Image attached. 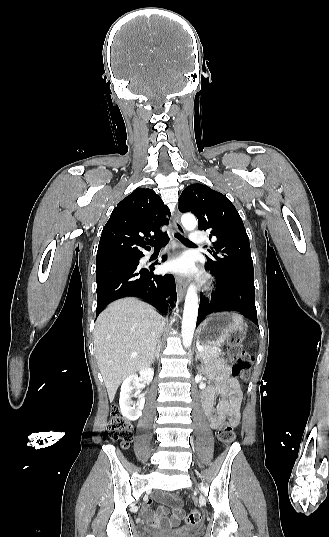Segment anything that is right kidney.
Instances as JSON below:
<instances>
[{"mask_svg": "<svg viewBox=\"0 0 329 537\" xmlns=\"http://www.w3.org/2000/svg\"><path fill=\"white\" fill-rule=\"evenodd\" d=\"M140 377L137 374L129 375L122 383L120 392V411L121 414L128 420L134 421L142 415V410L145 404V397L140 393L139 383L141 380L147 383L151 382L154 376V370L150 367L142 369ZM133 390H136L133 393ZM132 397L137 398V401H133Z\"/></svg>", "mask_w": 329, "mask_h": 537, "instance_id": "right-kidney-1", "label": "right kidney"}]
</instances>
